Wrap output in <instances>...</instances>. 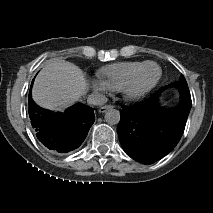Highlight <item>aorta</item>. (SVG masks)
Instances as JSON below:
<instances>
[{
    "label": "aorta",
    "instance_id": "obj_1",
    "mask_svg": "<svg viewBox=\"0 0 213 213\" xmlns=\"http://www.w3.org/2000/svg\"><path fill=\"white\" fill-rule=\"evenodd\" d=\"M104 118L109 125H116L120 121V112L110 107L106 110Z\"/></svg>",
    "mask_w": 213,
    "mask_h": 213
}]
</instances>
